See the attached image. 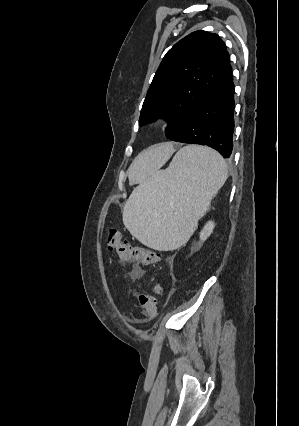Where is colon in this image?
I'll list each match as a JSON object with an SVG mask.
<instances>
[{
    "label": "colon",
    "instance_id": "obj_1",
    "mask_svg": "<svg viewBox=\"0 0 299 426\" xmlns=\"http://www.w3.org/2000/svg\"><path fill=\"white\" fill-rule=\"evenodd\" d=\"M107 248L109 251H115L119 259L124 262H137L147 266L157 263L161 258V255L153 249L132 245L116 228L109 229ZM161 290V286L155 284L149 292L138 296L141 313L145 319L151 320L156 317L157 296Z\"/></svg>",
    "mask_w": 299,
    "mask_h": 426
}]
</instances>
